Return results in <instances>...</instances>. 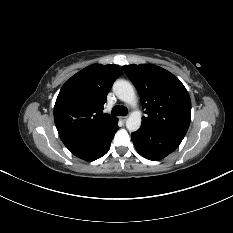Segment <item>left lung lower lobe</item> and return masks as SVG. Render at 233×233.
<instances>
[{
  "label": "left lung lower lobe",
  "mask_w": 233,
  "mask_h": 233,
  "mask_svg": "<svg viewBox=\"0 0 233 233\" xmlns=\"http://www.w3.org/2000/svg\"><path fill=\"white\" fill-rule=\"evenodd\" d=\"M131 138L140 155L156 161L173 152L184 137L142 125L139 131L131 135Z\"/></svg>",
  "instance_id": "0a47b994"
}]
</instances>
